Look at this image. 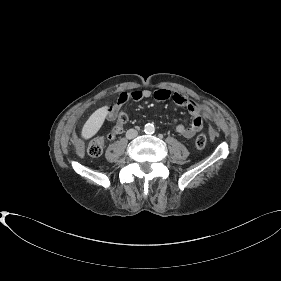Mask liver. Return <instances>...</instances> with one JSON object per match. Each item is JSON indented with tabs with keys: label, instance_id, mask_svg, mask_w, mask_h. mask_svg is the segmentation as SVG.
Listing matches in <instances>:
<instances>
[{
	"label": "liver",
	"instance_id": "1",
	"mask_svg": "<svg viewBox=\"0 0 281 281\" xmlns=\"http://www.w3.org/2000/svg\"><path fill=\"white\" fill-rule=\"evenodd\" d=\"M107 114L108 106H103L92 113L82 128L81 136L86 140L93 137L103 125Z\"/></svg>",
	"mask_w": 281,
	"mask_h": 281
}]
</instances>
